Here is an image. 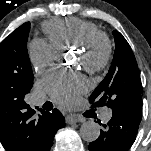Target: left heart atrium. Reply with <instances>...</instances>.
<instances>
[{
	"instance_id": "left-heart-atrium-1",
	"label": "left heart atrium",
	"mask_w": 151,
	"mask_h": 151,
	"mask_svg": "<svg viewBox=\"0 0 151 151\" xmlns=\"http://www.w3.org/2000/svg\"><path fill=\"white\" fill-rule=\"evenodd\" d=\"M42 84L49 95L63 106L71 105L88 88L87 80L81 74L60 70L47 73Z\"/></svg>"
}]
</instances>
